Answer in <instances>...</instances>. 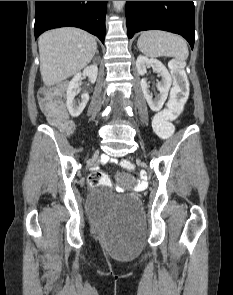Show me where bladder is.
Returning <instances> with one entry per match:
<instances>
[{"label": "bladder", "mask_w": 233, "mask_h": 295, "mask_svg": "<svg viewBox=\"0 0 233 295\" xmlns=\"http://www.w3.org/2000/svg\"><path fill=\"white\" fill-rule=\"evenodd\" d=\"M87 210L90 215L100 221L123 214L140 213L139 200L132 195H117L94 188L87 197Z\"/></svg>", "instance_id": "bladder-1"}]
</instances>
